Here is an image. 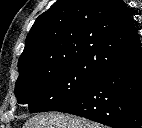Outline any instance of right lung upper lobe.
<instances>
[{"mask_svg":"<svg viewBox=\"0 0 142 128\" xmlns=\"http://www.w3.org/2000/svg\"><path fill=\"white\" fill-rule=\"evenodd\" d=\"M141 56L140 39L123 0H58L30 29L18 61V80L75 65L98 77Z\"/></svg>","mask_w":142,"mask_h":128,"instance_id":"right-lung-upper-lobe-1","label":"right lung upper lobe"}]
</instances>
